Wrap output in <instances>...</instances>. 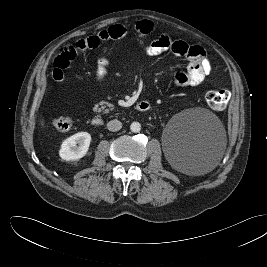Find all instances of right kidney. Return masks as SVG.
<instances>
[{
	"label": "right kidney",
	"instance_id": "obj_1",
	"mask_svg": "<svg viewBox=\"0 0 267 267\" xmlns=\"http://www.w3.org/2000/svg\"><path fill=\"white\" fill-rule=\"evenodd\" d=\"M90 142L91 136L89 133H76L63 141L59 156L66 161H77L87 154Z\"/></svg>",
	"mask_w": 267,
	"mask_h": 267
}]
</instances>
